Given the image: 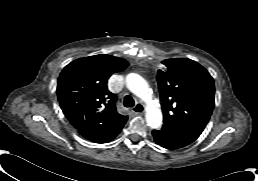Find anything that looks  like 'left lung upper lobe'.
<instances>
[{"instance_id":"5c2ea615","label":"left lung upper lobe","mask_w":258,"mask_h":181,"mask_svg":"<svg viewBox=\"0 0 258 181\" xmlns=\"http://www.w3.org/2000/svg\"><path fill=\"white\" fill-rule=\"evenodd\" d=\"M157 75L164 124L201 134L214 108V81L199 63L167 59Z\"/></svg>"}]
</instances>
